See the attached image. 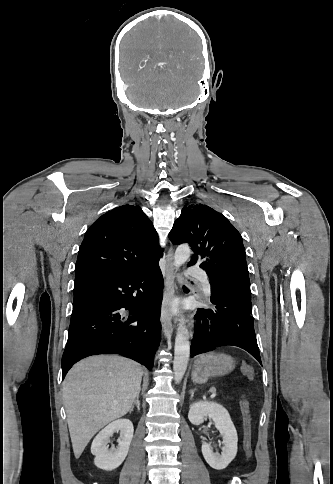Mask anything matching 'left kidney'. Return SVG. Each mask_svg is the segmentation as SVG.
I'll return each mask as SVG.
<instances>
[{
	"instance_id": "obj_1",
	"label": "left kidney",
	"mask_w": 333,
	"mask_h": 484,
	"mask_svg": "<svg viewBox=\"0 0 333 484\" xmlns=\"http://www.w3.org/2000/svg\"><path fill=\"white\" fill-rule=\"evenodd\" d=\"M206 417L214 421L216 429L223 437L221 454L214 453L212 447L202 442V454L206 462L214 469L226 468L237 453L238 436L228 411L220 404L212 401H198L190 406L188 418L194 425L203 423Z\"/></svg>"
}]
</instances>
